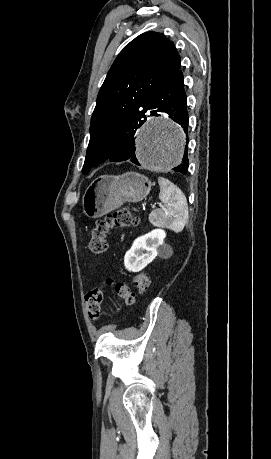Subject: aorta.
<instances>
[{"instance_id":"obj_1","label":"aorta","mask_w":271,"mask_h":459,"mask_svg":"<svg viewBox=\"0 0 271 459\" xmlns=\"http://www.w3.org/2000/svg\"><path fill=\"white\" fill-rule=\"evenodd\" d=\"M183 132L166 118H152L137 136V158L150 170L166 171L178 165L183 156Z\"/></svg>"}]
</instances>
